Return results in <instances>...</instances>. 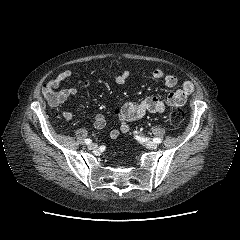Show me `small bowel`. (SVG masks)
<instances>
[{"instance_id":"c3829d8e","label":"small bowel","mask_w":240,"mask_h":240,"mask_svg":"<svg viewBox=\"0 0 240 240\" xmlns=\"http://www.w3.org/2000/svg\"><path fill=\"white\" fill-rule=\"evenodd\" d=\"M71 76V70H64L44 85V94L50 105L59 106L63 104L68 98L76 95L80 90L90 87L91 82L89 80H82L77 85L59 89L60 85ZM128 77L129 72L124 71L115 77V83L122 85L127 81ZM152 77L155 80L163 81L164 84L169 88H173L178 84V79L176 76L166 73L162 69H155L152 72ZM193 91V83L190 81H185L182 83L179 89L169 93L164 97L153 95L143 99L140 102L129 101L124 103L119 109L115 111V116L119 120L120 126L110 131V137L112 139H116L120 133L129 132L130 127L128 125V122L137 120L143 117L146 113H162L165 110L166 105L172 107L183 106ZM51 96L55 98L54 102L51 100ZM62 117L65 120H71L73 119V113L69 110H65L62 112ZM94 126L97 130H102L104 128L105 118L102 114H95Z\"/></svg>"}]
</instances>
